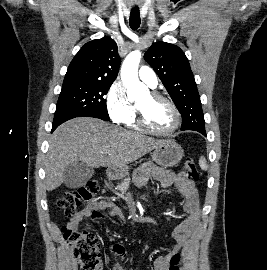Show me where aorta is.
I'll return each mask as SVG.
<instances>
[{
    "instance_id": "aorta-1",
    "label": "aorta",
    "mask_w": 267,
    "mask_h": 270,
    "mask_svg": "<svg viewBox=\"0 0 267 270\" xmlns=\"http://www.w3.org/2000/svg\"><path fill=\"white\" fill-rule=\"evenodd\" d=\"M140 60L141 52L139 50L132 51L127 55L121 67V80L126 87L130 101L137 100L148 93V88L138 78Z\"/></svg>"
}]
</instances>
